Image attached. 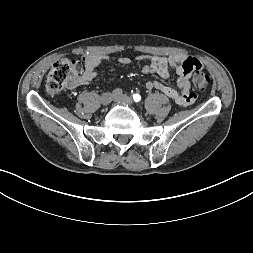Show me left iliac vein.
Segmentation results:
<instances>
[{
    "instance_id": "obj_1",
    "label": "left iliac vein",
    "mask_w": 253,
    "mask_h": 253,
    "mask_svg": "<svg viewBox=\"0 0 253 253\" xmlns=\"http://www.w3.org/2000/svg\"><path fill=\"white\" fill-rule=\"evenodd\" d=\"M114 101L125 106H132L133 100L127 95L114 96Z\"/></svg>"
}]
</instances>
